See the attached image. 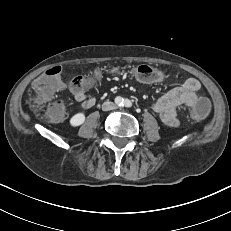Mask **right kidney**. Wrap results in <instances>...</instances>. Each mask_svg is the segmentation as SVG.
Segmentation results:
<instances>
[{
    "mask_svg": "<svg viewBox=\"0 0 231 231\" xmlns=\"http://www.w3.org/2000/svg\"><path fill=\"white\" fill-rule=\"evenodd\" d=\"M85 121V115L83 112L77 113L70 119V125L73 127L80 126Z\"/></svg>",
    "mask_w": 231,
    "mask_h": 231,
    "instance_id": "obj_1",
    "label": "right kidney"
}]
</instances>
